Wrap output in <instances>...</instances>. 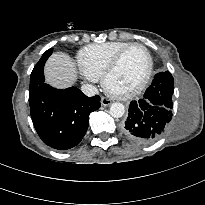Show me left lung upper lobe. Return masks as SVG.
I'll return each mask as SVG.
<instances>
[{
  "mask_svg": "<svg viewBox=\"0 0 205 205\" xmlns=\"http://www.w3.org/2000/svg\"><path fill=\"white\" fill-rule=\"evenodd\" d=\"M162 88L166 92V96H169L170 102H172V94L174 92V80L170 72H160L155 75L154 80L151 84L150 87L147 88L145 95L151 94L152 93V88L155 87Z\"/></svg>",
  "mask_w": 205,
  "mask_h": 205,
  "instance_id": "1",
  "label": "left lung upper lobe"
}]
</instances>
